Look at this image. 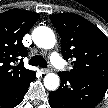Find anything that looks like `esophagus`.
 Instances as JSON below:
<instances>
[{"mask_svg":"<svg viewBox=\"0 0 108 108\" xmlns=\"http://www.w3.org/2000/svg\"><path fill=\"white\" fill-rule=\"evenodd\" d=\"M41 71H42L43 73H48V72L50 71V69H48V68H42Z\"/></svg>","mask_w":108,"mask_h":108,"instance_id":"obj_1","label":"esophagus"}]
</instances>
